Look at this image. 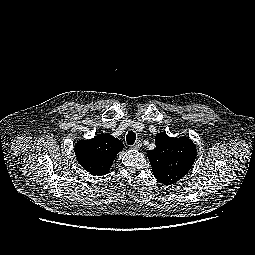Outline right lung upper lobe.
Listing matches in <instances>:
<instances>
[{
    "instance_id": "obj_1",
    "label": "right lung upper lobe",
    "mask_w": 255,
    "mask_h": 255,
    "mask_svg": "<svg viewBox=\"0 0 255 255\" xmlns=\"http://www.w3.org/2000/svg\"><path fill=\"white\" fill-rule=\"evenodd\" d=\"M123 143L110 134H98L89 140H79L75 155L79 164L90 174L102 176L111 168Z\"/></svg>"
}]
</instances>
